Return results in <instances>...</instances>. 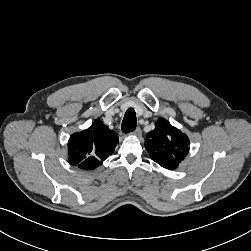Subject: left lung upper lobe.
<instances>
[{
    "instance_id": "obj_1",
    "label": "left lung upper lobe",
    "mask_w": 251,
    "mask_h": 251,
    "mask_svg": "<svg viewBox=\"0 0 251 251\" xmlns=\"http://www.w3.org/2000/svg\"><path fill=\"white\" fill-rule=\"evenodd\" d=\"M189 139L164 118L147 134L145 148L150 158L166 169H174L189 151Z\"/></svg>"
}]
</instances>
